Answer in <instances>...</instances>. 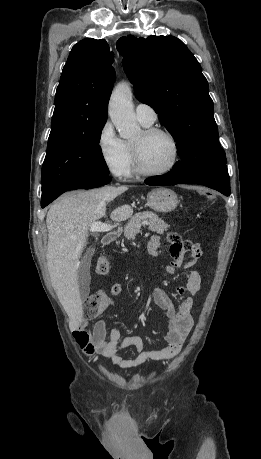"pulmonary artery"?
<instances>
[{
  "label": "pulmonary artery",
  "mask_w": 261,
  "mask_h": 459,
  "mask_svg": "<svg viewBox=\"0 0 261 459\" xmlns=\"http://www.w3.org/2000/svg\"><path fill=\"white\" fill-rule=\"evenodd\" d=\"M135 112L137 119L143 124L152 125L157 119L155 110L144 103H139L135 108Z\"/></svg>",
  "instance_id": "e3ab8cb5"
}]
</instances>
